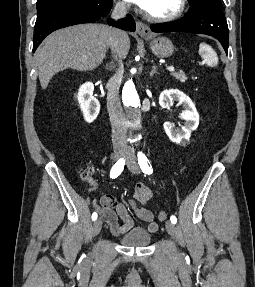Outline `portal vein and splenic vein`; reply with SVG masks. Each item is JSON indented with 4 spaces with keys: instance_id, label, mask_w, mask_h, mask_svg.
I'll list each match as a JSON object with an SVG mask.
<instances>
[{
    "instance_id": "portal-vein-and-splenic-vein-1",
    "label": "portal vein and splenic vein",
    "mask_w": 255,
    "mask_h": 287,
    "mask_svg": "<svg viewBox=\"0 0 255 287\" xmlns=\"http://www.w3.org/2000/svg\"><path fill=\"white\" fill-rule=\"evenodd\" d=\"M166 70H169V72H174L173 66H168V68H166Z\"/></svg>"
}]
</instances>
